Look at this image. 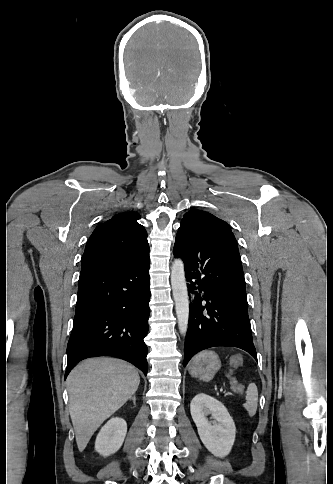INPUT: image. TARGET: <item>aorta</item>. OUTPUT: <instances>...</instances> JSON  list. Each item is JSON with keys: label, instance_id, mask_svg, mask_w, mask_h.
<instances>
[{"label": "aorta", "instance_id": "762f6f07", "mask_svg": "<svg viewBox=\"0 0 333 484\" xmlns=\"http://www.w3.org/2000/svg\"><path fill=\"white\" fill-rule=\"evenodd\" d=\"M171 285L179 331L181 335L185 336L188 330L189 297L185 279L184 263L181 259H175L172 264Z\"/></svg>", "mask_w": 333, "mask_h": 484}]
</instances>
